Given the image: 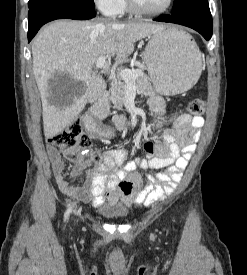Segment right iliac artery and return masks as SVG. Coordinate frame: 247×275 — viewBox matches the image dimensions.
<instances>
[{
  "label": "right iliac artery",
  "mask_w": 247,
  "mask_h": 275,
  "mask_svg": "<svg viewBox=\"0 0 247 275\" xmlns=\"http://www.w3.org/2000/svg\"><path fill=\"white\" fill-rule=\"evenodd\" d=\"M71 210H72V206H69L68 209H67L66 212H65V220L68 218V216H69Z\"/></svg>",
  "instance_id": "82829eb1"
}]
</instances>
